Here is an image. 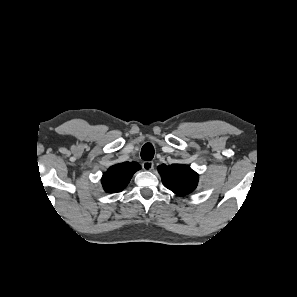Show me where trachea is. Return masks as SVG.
<instances>
[{"label":"trachea","instance_id":"obj_1","mask_svg":"<svg viewBox=\"0 0 297 297\" xmlns=\"http://www.w3.org/2000/svg\"><path fill=\"white\" fill-rule=\"evenodd\" d=\"M154 147L150 143H146L141 149V158L144 160H151L154 157Z\"/></svg>","mask_w":297,"mask_h":297}]
</instances>
